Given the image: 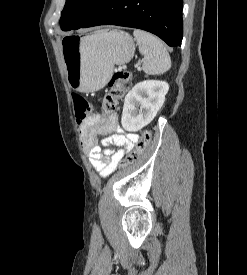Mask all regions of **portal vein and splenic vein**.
Instances as JSON below:
<instances>
[{
  "label": "portal vein and splenic vein",
  "mask_w": 247,
  "mask_h": 275,
  "mask_svg": "<svg viewBox=\"0 0 247 275\" xmlns=\"http://www.w3.org/2000/svg\"><path fill=\"white\" fill-rule=\"evenodd\" d=\"M136 67H137V69H138V70H140V69H141L138 65H136Z\"/></svg>",
  "instance_id": "1"
}]
</instances>
